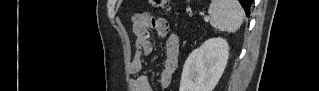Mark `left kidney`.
<instances>
[{"instance_id": "1", "label": "left kidney", "mask_w": 319, "mask_h": 91, "mask_svg": "<svg viewBox=\"0 0 319 91\" xmlns=\"http://www.w3.org/2000/svg\"><path fill=\"white\" fill-rule=\"evenodd\" d=\"M229 57V45L221 37L206 40L188 56L179 91H213Z\"/></svg>"}]
</instances>
